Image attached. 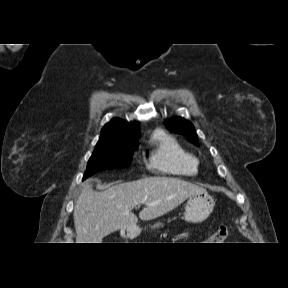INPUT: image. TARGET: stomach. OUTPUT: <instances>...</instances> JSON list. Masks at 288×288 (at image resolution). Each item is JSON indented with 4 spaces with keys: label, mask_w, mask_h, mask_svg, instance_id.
Instances as JSON below:
<instances>
[{
    "label": "stomach",
    "mask_w": 288,
    "mask_h": 288,
    "mask_svg": "<svg viewBox=\"0 0 288 288\" xmlns=\"http://www.w3.org/2000/svg\"><path fill=\"white\" fill-rule=\"evenodd\" d=\"M214 205V199L208 194L206 190L191 195L186 203L184 219L187 222L192 223L202 222L211 214L214 209ZM159 225L160 224H157L155 226ZM140 232L141 229L135 228L132 230H123L121 231V235L126 238H134L138 236Z\"/></svg>",
    "instance_id": "obj_1"
}]
</instances>
